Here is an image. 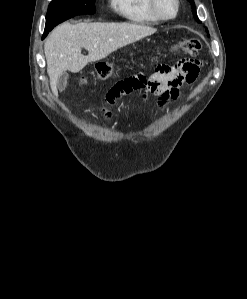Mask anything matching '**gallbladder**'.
<instances>
[{"mask_svg":"<svg viewBox=\"0 0 247 299\" xmlns=\"http://www.w3.org/2000/svg\"><path fill=\"white\" fill-rule=\"evenodd\" d=\"M68 79H69V74L67 72H64L59 75L58 80H57V89L59 91L62 92L63 90H65V88L67 86Z\"/></svg>","mask_w":247,"mask_h":299,"instance_id":"1","label":"gallbladder"}]
</instances>
